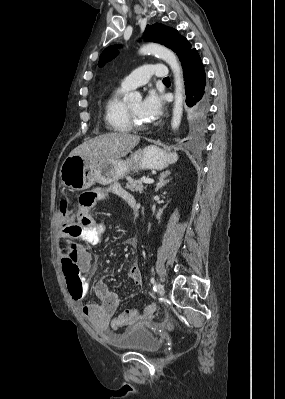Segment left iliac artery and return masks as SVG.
<instances>
[{
	"mask_svg": "<svg viewBox=\"0 0 285 399\" xmlns=\"http://www.w3.org/2000/svg\"><path fill=\"white\" fill-rule=\"evenodd\" d=\"M151 283H152V284L155 283V278H154V277L151 278Z\"/></svg>",
	"mask_w": 285,
	"mask_h": 399,
	"instance_id": "1",
	"label": "left iliac artery"
}]
</instances>
